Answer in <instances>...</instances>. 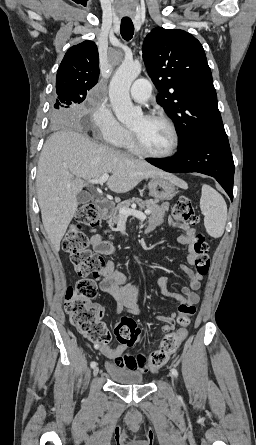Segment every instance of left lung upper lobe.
<instances>
[{
    "instance_id": "1",
    "label": "left lung upper lobe",
    "mask_w": 256,
    "mask_h": 445,
    "mask_svg": "<svg viewBox=\"0 0 256 445\" xmlns=\"http://www.w3.org/2000/svg\"><path fill=\"white\" fill-rule=\"evenodd\" d=\"M143 59L159 94L156 101L176 125L179 146L202 132L225 131L204 49L183 30L154 28Z\"/></svg>"
}]
</instances>
